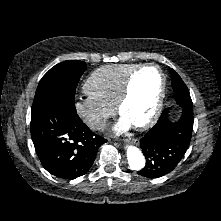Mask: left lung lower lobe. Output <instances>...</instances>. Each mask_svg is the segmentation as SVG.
I'll return each mask as SVG.
<instances>
[{"instance_id": "left-lung-lower-lobe-1", "label": "left lung lower lobe", "mask_w": 221, "mask_h": 221, "mask_svg": "<svg viewBox=\"0 0 221 221\" xmlns=\"http://www.w3.org/2000/svg\"><path fill=\"white\" fill-rule=\"evenodd\" d=\"M180 119H169L170 108L163 110L158 122L140 140L146 158L145 167L138 172L148 178H157L171 172L184 156L193 130V104L179 103Z\"/></svg>"}]
</instances>
